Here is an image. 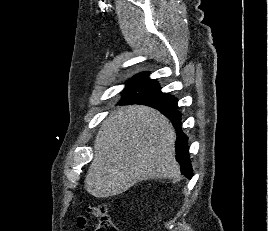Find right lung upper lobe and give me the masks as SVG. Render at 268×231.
<instances>
[{"label":"right lung upper lobe","instance_id":"obj_1","mask_svg":"<svg viewBox=\"0 0 268 231\" xmlns=\"http://www.w3.org/2000/svg\"><path fill=\"white\" fill-rule=\"evenodd\" d=\"M158 84L156 81L149 79L148 74L146 72L140 73L136 76L133 77L127 84L126 89H132L141 85L145 84ZM136 103V104H144L151 106L153 108H156L158 110H165L167 108H172L174 107L172 104L166 103V102H160V101H154L150 99H144V98H139L137 96L124 93L123 98L119 103ZM177 107V106H176Z\"/></svg>","mask_w":268,"mask_h":231}]
</instances>
